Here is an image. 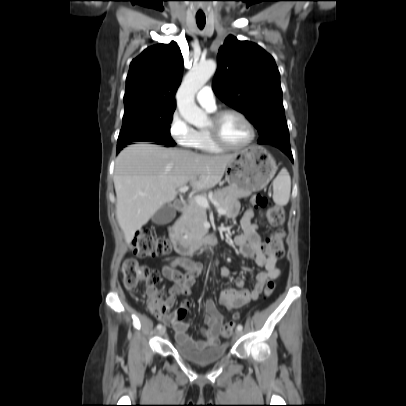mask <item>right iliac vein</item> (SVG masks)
Wrapping results in <instances>:
<instances>
[{
	"mask_svg": "<svg viewBox=\"0 0 406 406\" xmlns=\"http://www.w3.org/2000/svg\"><path fill=\"white\" fill-rule=\"evenodd\" d=\"M165 332H166V328H165V327H162V328L159 330V334H160V335H164Z\"/></svg>",
	"mask_w": 406,
	"mask_h": 406,
	"instance_id": "right-iliac-vein-1",
	"label": "right iliac vein"
}]
</instances>
